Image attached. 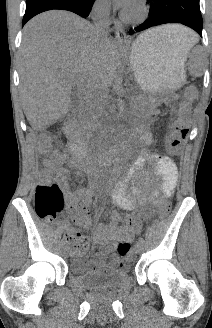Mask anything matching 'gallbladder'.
<instances>
[{
  "label": "gallbladder",
  "mask_w": 212,
  "mask_h": 328,
  "mask_svg": "<svg viewBox=\"0 0 212 328\" xmlns=\"http://www.w3.org/2000/svg\"><path fill=\"white\" fill-rule=\"evenodd\" d=\"M70 99H71V101H73V99H74V96H73L72 93H71V95H70Z\"/></svg>",
  "instance_id": "gallbladder-1"
}]
</instances>
